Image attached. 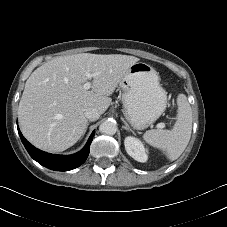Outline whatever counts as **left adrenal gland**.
Segmentation results:
<instances>
[{
  "mask_svg": "<svg viewBox=\"0 0 227 227\" xmlns=\"http://www.w3.org/2000/svg\"><path fill=\"white\" fill-rule=\"evenodd\" d=\"M122 121L124 123L123 129L133 132L132 129L127 124V122L123 118H122Z\"/></svg>",
  "mask_w": 227,
  "mask_h": 227,
  "instance_id": "obj_1",
  "label": "left adrenal gland"
}]
</instances>
